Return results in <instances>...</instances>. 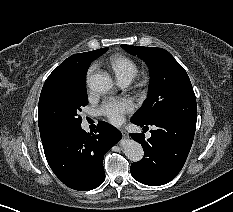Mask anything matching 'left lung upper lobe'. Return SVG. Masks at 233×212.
Here are the masks:
<instances>
[{
    "label": "left lung upper lobe",
    "mask_w": 233,
    "mask_h": 212,
    "mask_svg": "<svg viewBox=\"0 0 233 212\" xmlns=\"http://www.w3.org/2000/svg\"><path fill=\"white\" fill-rule=\"evenodd\" d=\"M121 47L143 59L150 70L147 99L131 119L143 124L161 116L197 119L196 99L190 79L168 51L126 44Z\"/></svg>",
    "instance_id": "obj_1"
}]
</instances>
